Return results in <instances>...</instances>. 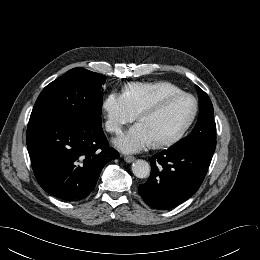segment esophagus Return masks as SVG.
Masks as SVG:
<instances>
[{"label": "esophagus", "mask_w": 260, "mask_h": 260, "mask_svg": "<svg viewBox=\"0 0 260 260\" xmlns=\"http://www.w3.org/2000/svg\"><path fill=\"white\" fill-rule=\"evenodd\" d=\"M124 160L127 163H131V162L135 161V157L134 156H124Z\"/></svg>", "instance_id": "esophagus-1"}]
</instances>
